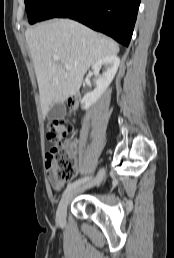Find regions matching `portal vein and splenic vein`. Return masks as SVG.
<instances>
[{
	"label": "portal vein and splenic vein",
	"mask_w": 174,
	"mask_h": 258,
	"mask_svg": "<svg viewBox=\"0 0 174 258\" xmlns=\"http://www.w3.org/2000/svg\"><path fill=\"white\" fill-rule=\"evenodd\" d=\"M59 59H60L59 56H54V60H55V61H57V60H59ZM64 67H65L66 70H70V69L72 68L71 65H68V64H65Z\"/></svg>",
	"instance_id": "1"
}]
</instances>
